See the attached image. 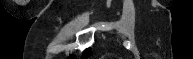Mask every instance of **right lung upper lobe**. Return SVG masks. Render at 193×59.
<instances>
[{
    "label": "right lung upper lobe",
    "instance_id": "right-lung-upper-lobe-1",
    "mask_svg": "<svg viewBox=\"0 0 193 59\" xmlns=\"http://www.w3.org/2000/svg\"><path fill=\"white\" fill-rule=\"evenodd\" d=\"M89 53H90V49H87V50H85L84 55L88 56Z\"/></svg>",
    "mask_w": 193,
    "mask_h": 59
}]
</instances>
